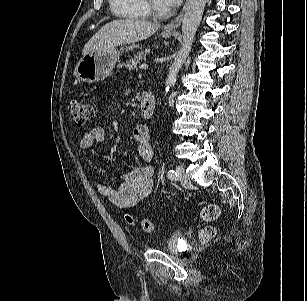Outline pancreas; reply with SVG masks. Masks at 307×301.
I'll list each match as a JSON object with an SVG mask.
<instances>
[{
	"label": "pancreas",
	"instance_id": "pancreas-1",
	"mask_svg": "<svg viewBox=\"0 0 307 301\" xmlns=\"http://www.w3.org/2000/svg\"><path fill=\"white\" fill-rule=\"evenodd\" d=\"M146 60V55L143 52H138L126 64H123L129 70H137L138 64Z\"/></svg>",
	"mask_w": 307,
	"mask_h": 301
}]
</instances>
